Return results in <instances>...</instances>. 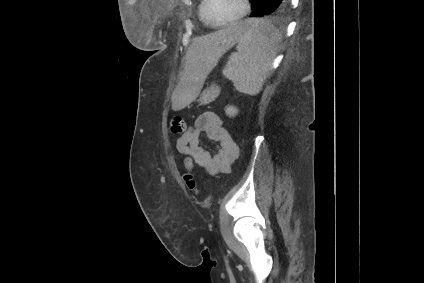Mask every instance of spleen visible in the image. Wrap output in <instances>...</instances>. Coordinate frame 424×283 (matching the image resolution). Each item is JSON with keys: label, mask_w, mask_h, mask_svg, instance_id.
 <instances>
[{"label": "spleen", "mask_w": 424, "mask_h": 283, "mask_svg": "<svg viewBox=\"0 0 424 283\" xmlns=\"http://www.w3.org/2000/svg\"><path fill=\"white\" fill-rule=\"evenodd\" d=\"M246 32L238 41L223 69V75L235 88L245 94L256 95L262 89L280 42L279 31L262 20L248 19Z\"/></svg>", "instance_id": "spleen-1"}]
</instances>
